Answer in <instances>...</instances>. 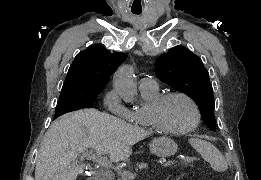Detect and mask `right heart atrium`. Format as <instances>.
Returning a JSON list of instances; mask_svg holds the SVG:
<instances>
[{"mask_svg":"<svg viewBox=\"0 0 261 180\" xmlns=\"http://www.w3.org/2000/svg\"><path fill=\"white\" fill-rule=\"evenodd\" d=\"M119 97L115 89H111L104 97V104L106 108H112V112L114 114H118V117H124V120H130V114L125 109H118L114 110L113 107H115L118 103ZM128 125H126L127 127Z\"/></svg>","mask_w":261,"mask_h":180,"instance_id":"obj_1","label":"right heart atrium"}]
</instances>
